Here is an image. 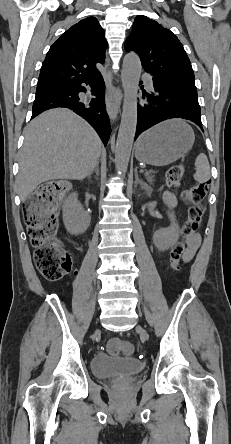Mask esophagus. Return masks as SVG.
Here are the masks:
<instances>
[{
    "instance_id": "esophagus-1",
    "label": "esophagus",
    "mask_w": 231,
    "mask_h": 444,
    "mask_svg": "<svg viewBox=\"0 0 231 444\" xmlns=\"http://www.w3.org/2000/svg\"><path fill=\"white\" fill-rule=\"evenodd\" d=\"M122 96V91L119 87L111 86L106 92V110L111 120H115L118 117Z\"/></svg>"
}]
</instances>
